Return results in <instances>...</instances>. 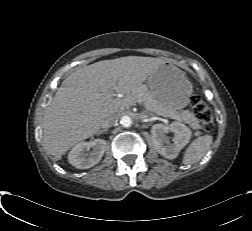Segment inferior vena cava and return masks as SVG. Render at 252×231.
I'll return each instance as SVG.
<instances>
[{"instance_id":"obj_1","label":"inferior vena cava","mask_w":252,"mask_h":231,"mask_svg":"<svg viewBox=\"0 0 252 231\" xmlns=\"http://www.w3.org/2000/svg\"><path fill=\"white\" fill-rule=\"evenodd\" d=\"M118 121V115L117 114H110L106 117V119L102 122V128H108L116 124Z\"/></svg>"}]
</instances>
